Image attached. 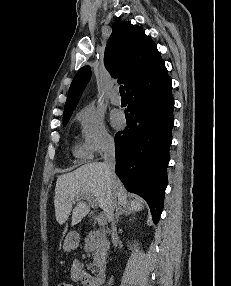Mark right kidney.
<instances>
[{"instance_id":"1","label":"right kidney","mask_w":231,"mask_h":286,"mask_svg":"<svg viewBox=\"0 0 231 286\" xmlns=\"http://www.w3.org/2000/svg\"><path fill=\"white\" fill-rule=\"evenodd\" d=\"M128 247H129V249H132V246H131V244H129V245H128Z\"/></svg>"}]
</instances>
